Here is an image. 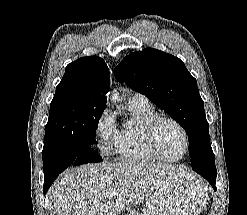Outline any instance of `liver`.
Here are the masks:
<instances>
[{
	"label": "liver",
	"mask_w": 247,
	"mask_h": 215,
	"mask_svg": "<svg viewBox=\"0 0 247 215\" xmlns=\"http://www.w3.org/2000/svg\"><path fill=\"white\" fill-rule=\"evenodd\" d=\"M184 171L162 163L88 164L60 175L49 195L57 215H118L147 200L169 178ZM111 192L116 196L111 197Z\"/></svg>",
	"instance_id": "6515ba94"
}]
</instances>
